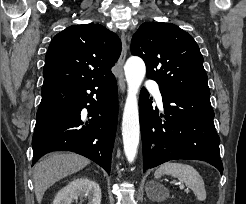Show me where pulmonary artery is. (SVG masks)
Listing matches in <instances>:
<instances>
[{"label": "pulmonary artery", "instance_id": "1", "mask_svg": "<svg viewBox=\"0 0 246 204\" xmlns=\"http://www.w3.org/2000/svg\"><path fill=\"white\" fill-rule=\"evenodd\" d=\"M147 88L152 92L153 96L157 100L158 103H162V95L160 93L159 87L156 82L148 81L146 83Z\"/></svg>", "mask_w": 246, "mask_h": 204}]
</instances>
